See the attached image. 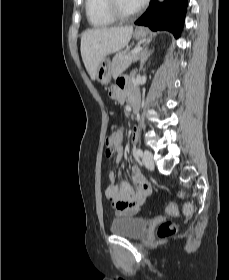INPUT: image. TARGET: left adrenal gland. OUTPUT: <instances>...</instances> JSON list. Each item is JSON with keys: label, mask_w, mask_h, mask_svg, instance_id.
Masks as SVG:
<instances>
[{"label": "left adrenal gland", "mask_w": 229, "mask_h": 280, "mask_svg": "<svg viewBox=\"0 0 229 280\" xmlns=\"http://www.w3.org/2000/svg\"><path fill=\"white\" fill-rule=\"evenodd\" d=\"M151 53H152V51L148 52L147 49H145V51H143V53L141 54V57H140L141 64H140L139 70L143 69L144 63L148 59V57L151 55Z\"/></svg>", "instance_id": "a2214340"}]
</instances>
